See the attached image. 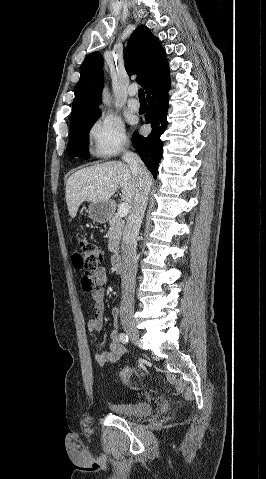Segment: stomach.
<instances>
[{
    "mask_svg": "<svg viewBox=\"0 0 266 479\" xmlns=\"http://www.w3.org/2000/svg\"><path fill=\"white\" fill-rule=\"evenodd\" d=\"M111 205L109 202H92L89 205V217L98 223L106 222L110 217Z\"/></svg>",
    "mask_w": 266,
    "mask_h": 479,
    "instance_id": "obj_1",
    "label": "stomach"
}]
</instances>
